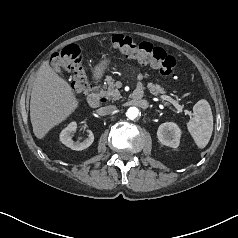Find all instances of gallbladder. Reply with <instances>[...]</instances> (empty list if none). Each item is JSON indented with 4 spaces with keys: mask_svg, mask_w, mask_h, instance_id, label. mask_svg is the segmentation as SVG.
<instances>
[{
    "mask_svg": "<svg viewBox=\"0 0 238 238\" xmlns=\"http://www.w3.org/2000/svg\"><path fill=\"white\" fill-rule=\"evenodd\" d=\"M55 71H57V72H61V70L59 69V68H55Z\"/></svg>",
    "mask_w": 238,
    "mask_h": 238,
    "instance_id": "gallbladder-1",
    "label": "gallbladder"
}]
</instances>
